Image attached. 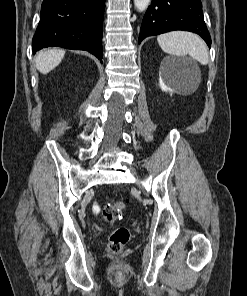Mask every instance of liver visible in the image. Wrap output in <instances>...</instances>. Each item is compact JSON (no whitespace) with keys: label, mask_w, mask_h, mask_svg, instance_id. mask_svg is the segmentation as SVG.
Instances as JSON below:
<instances>
[{"label":"liver","mask_w":247,"mask_h":296,"mask_svg":"<svg viewBox=\"0 0 247 296\" xmlns=\"http://www.w3.org/2000/svg\"><path fill=\"white\" fill-rule=\"evenodd\" d=\"M65 55V50L60 48H52L40 51L36 55V67L42 74H47L60 64Z\"/></svg>","instance_id":"6515ba94"}]
</instances>
